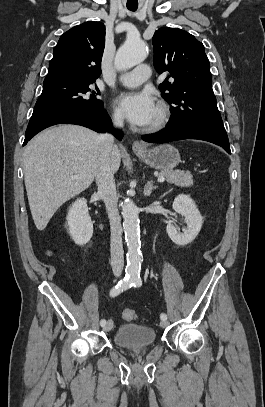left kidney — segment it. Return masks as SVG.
Segmentation results:
<instances>
[{"label":"left kidney","mask_w":265,"mask_h":407,"mask_svg":"<svg viewBox=\"0 0 265 407\" xmlns=\"http://www.w3.org/2000/svg\"><path fill=\"white\" fill-rule=\"evenodd\" d=\"M173 209L176 213L181 214L187 224V228L180 233L172 223L166 227L170 239L178 246H185L191 243L199 234L203 218L197 209L194 201L187 195L180 194L175 197Z\"/></svg>","instance_id":"5707ae66"}]
</instances>
